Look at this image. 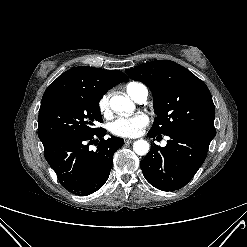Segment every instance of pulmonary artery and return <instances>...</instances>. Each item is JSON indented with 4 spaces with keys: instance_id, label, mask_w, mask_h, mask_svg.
Instances as JSON below:
<instances>
[{
    "instance_id": "obj_1",
    "label": "pulmonary artery",
    "mask_w": 247,
    "mask_h": 247,
    "mask_svg": "<svg viewBox=\"0 0 247 247\" xmlns=\"http://www.w3.org/2000/svg\"><path fill=\"white\" fill-rule=\"evenodd\" d=\"M130 97L138 103H143L147 100L148 90L144 85L140 84L135 88Z\"/></svg>"
}]
</instances>
